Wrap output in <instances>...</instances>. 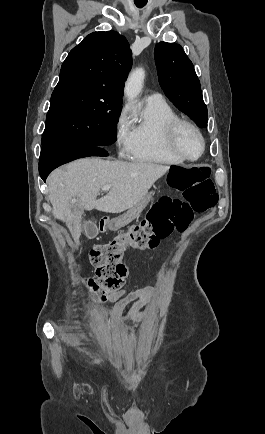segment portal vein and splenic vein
I'll return each mask as SVG.
<instances>
[{
	"mask_svg": "<svg viewBox=\"0 0 265 434\" xmlns=\"http://www.w3.org/2000/svg\"><path fill=\"white\" fill-rule=\"evenodd\" d=\"M111 186H103V188H101L102 192H108V190H110ZM75 202H78V200H70V204H75Z\"/></svg>",
	"mask_w": 265,
	"mask_h": 434,
	"instance_id": "1",
	"label": "portal vein and splenic vein"
}]
</instances>
